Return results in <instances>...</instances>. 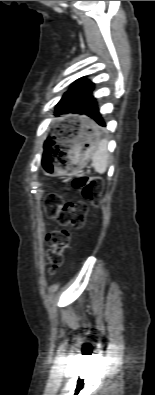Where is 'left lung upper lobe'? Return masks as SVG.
<instances>
[{"label": "left lung upper lobe", "mask_w": 155, "mask_h": 395, "mask_svg": "<svg viewBox=\"0 0 155 395\" xmlns=\"http://www.w3.org/2000/svg\"><path fill=\"white\" fill-rule=\"evenodd\" d=\"M94 89V83L82 77L74 82V85L63 95L57 104L55 115L78 113L82 114V109L86 99Z\"/></svg>", "instance_id": "obj_1"}]
</instances>
